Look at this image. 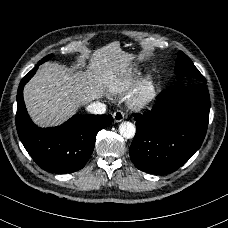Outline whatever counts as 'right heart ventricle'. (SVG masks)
<instances>
[{
	"label": "right heart ventricle",
	"instance_id": "right-heart-ventricle-1",
	"mask_svg": "<svg viewBox=\"0 0 228 228\" xmlns=\"http://www.w3.org/2000/svg\"><path fill=\"white\" fill-rule=\"evenodd\" d=\"M140 75V72L138 70H131L130 71V78L123 83L120 84V86L116 89V91H122L125 90L129 85H131L134 82V79Z\"/></svg>",
	"mask_w": 228,
	"mask_h": 228
}]
</instances>
